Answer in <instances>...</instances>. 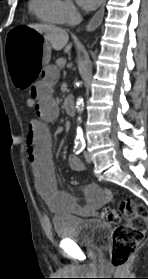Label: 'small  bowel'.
I'll return each instance as SVG.
<instances>
[{"label":"small bowel","mask_w":148,"mask_h":279,"mask_svg":"<svg viewBox=\"0 0 148 279\" xmlns=\"http://www.w3.org/2000/svg\"><path fill=\"white\" fill-rule=\"evenodd\" d=\"M58 77L59 72L55 67H45L40 73V79L30 89V95L36 98L37 105L34 109L35 118L28 125L26 146L38 191L54 212L71 214L76 212L77 200L57 186L52 161L51 138L47 127V123L54 121L59 115L58 104L53 98V86ZM68 163L74 171L85 170L84 164L74 155L68 156ZM73 183L77 182L73 181ZM112 198L111 190L90 184L84 189V201L87 207L79 214L89 216L92 210L101 207Z\"/></svg>","instance_id":"small-bowel-1"}]
</instances>
